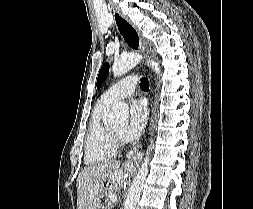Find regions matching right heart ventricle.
<instances>
[{
  "label": "right heart ventricle",
  "instance_id": "obj_1",
  "mask_svg": "<svg viewBox=\"0 0 253 209\" xmlns=\"http://www.w3.org/2000/svg\"><path fill=\"white\" fill-rule=\"evenodd\" d=\"M110 104L101 99L96 103L85 137V163L95 165L116 156L117 145L103 119Z\"/></svg>",
  "mask_w": 253,
  "mask_h": 209
}]
</instances>
